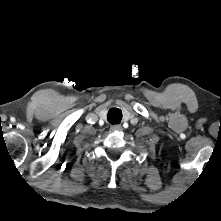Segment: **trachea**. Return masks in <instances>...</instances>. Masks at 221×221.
I'll use <instances>...</instances> for the list:
<instances>
[{
  "instance_id": "3493384b",
  "label": "trachea",
  "mask_w": 221,
  "mask_h": 221,
  "mask_svg": "<svg viewBox=\"0 0 221 221\" xmlns=\"http://www.w3.org/2000/svg\"><path fill=\"white\" fill-rule=\"evenodd\" d=\"M122 120V111L118 108H111L108 112V121L111 124H119Z\"/></svg>"
}]
</instances>
